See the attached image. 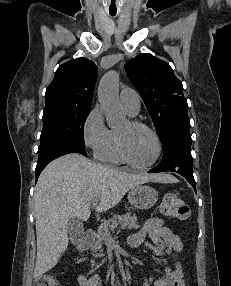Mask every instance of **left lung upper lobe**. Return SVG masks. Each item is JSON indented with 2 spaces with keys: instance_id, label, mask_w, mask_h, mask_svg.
<instances>
[{
  "instance_id": "5c2ea615",
  "label": "left lung upper lobe",
  "mask_w": 231,
  "mask_h": 286,
  "mask_svg": "<svg viewBox=\"0 0 231 286\" xmlns=\"http://www.w3.org/2000/svg\"><path fill=\"white\" fill-rule=\"evenodd\" d=\"M125 70L146 104L161 142L173 132L190 130L183 86L168 63L140 54L126 62Z\"/></svg>"
}]
</instances>
